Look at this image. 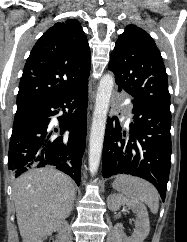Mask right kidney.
<instances>
[{
    "label": "right kidney",
    "instance_id": "right-kidney-1",
    "mask_svg": "<svg viewBox=\"0 0 187 242\" xmlns=\"http://www.w3.org/2000/svg\"><path fill=\"white\" fill-rule=\"evenodd\" d=\"M68 229V224L67 222L63 221L61 223H59L57 226H55L53 228L52 231H57L59 233V236H60V240L59 241H56V242H63L62 241V237L63 235L65 234V232L67 231ZM52 231H49L47 232L45 235H43L37 242H43L44 239L51 234Z\"/></svg>",
    "mask_w": 187,
    "mask_h": 242
}]
</instances>
